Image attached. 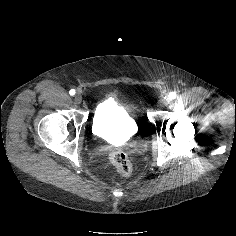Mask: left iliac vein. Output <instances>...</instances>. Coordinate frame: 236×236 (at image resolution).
<instances>
[{
    "label": "left iliac vein",
    "instance_id": "left-iliac-vein-1",
    "mask_svg": "<svg viewBox=\"0 0 236 236\" xmlns=\"http://www.w3.org/2000/svg\"><path fill=\"white\" fill-rule=\"evenodd\" d=\"M170 103V100L168 98H162L159 101V106L164 107L167 106Z\"/></svg>",
    "mask_w": 236,
    "mask_h": 236
}]
</instances>
